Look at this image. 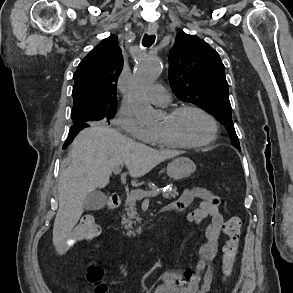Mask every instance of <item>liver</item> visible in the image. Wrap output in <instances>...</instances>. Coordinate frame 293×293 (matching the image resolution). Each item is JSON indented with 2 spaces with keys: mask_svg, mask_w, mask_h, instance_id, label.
<instances>
[{
  "mask_svg": "<svg viewBox=\"0 0 293 293\" xmlns=\"http://www.w3.org/2000/svg\"><path fill=\"white\" fill-rule=\"evenodd\" d=\"M155 150L103 125H92L74 139L58 181L59 208L53 227V243L59 245L83 213L85 197L104 188L114 168L125 164L133 178L144 176L161 162L179 155Z\"/></svg>",
  "mask_w": 293,
  "mask_h": 293,
  "instance_id": "1",
  "label": "liver"
}]
</instances>
